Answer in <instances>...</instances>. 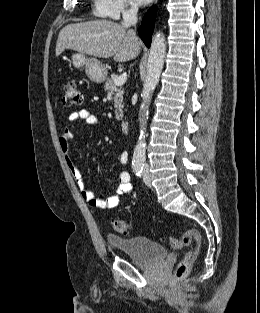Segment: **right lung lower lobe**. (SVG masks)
<instances>
[{
    "instance_id": "right-lung-lower-lobe-1",
    "label": "right lung lower lobe",
    "mask_w": 260,
    "mask_h": 313,
    "mask_svg": "<svg viewBox=\"0 0 260 313\" xmlns=\"http://www.w3.org/2000/svg\"><path fill=\"white\" fill-rule=\"evenodd\" d=\"M155 18H156V6H152L148 10V13H146V15L144 16L142 24L139 28V35L147 47H150L155 25Z\"/></svg>"
}]
</instances>
